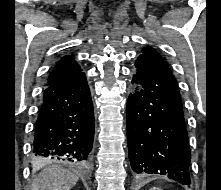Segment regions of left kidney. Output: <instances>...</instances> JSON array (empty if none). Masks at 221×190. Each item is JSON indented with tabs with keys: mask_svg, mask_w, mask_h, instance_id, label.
Wrapping results in <instances>:
<instances>
[{
	"mask_svg": "<svg viewBox=\"0 0 221 190\" xmlns=\"http://www.w3.org/2000/svg\"><path fill=\"white\" fill-rule=\"evenodd\" d=\"M149 190H161L160 188H151V189H149Z\"/></svg>",
	"mask_w": 221,
	"mask_h": 190,
	"instance_id": "5707ae66",
	"label": "left kidney"
}]
</instances>
